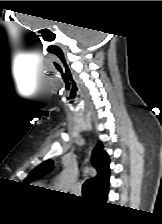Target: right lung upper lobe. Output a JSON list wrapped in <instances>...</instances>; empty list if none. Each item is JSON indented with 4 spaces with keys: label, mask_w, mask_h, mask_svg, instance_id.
<instances>
[{
    "label": "right lung upper lobe",
    "mask_w": 162,
    "mask_h": 224,
    "mask_svg": "<svg viewBox=\"0 0 162 224\" xmlns=\"http://www.w3.org/2000/svg\"><path fill=\"white\" fill-rule=\"evenodd\" d=\"M91 162L93 167L97 170V176L90 179L91 187L90 194L93 197L98 198L100 195L108 191L109 178H110V168H109V158L107 153L103 150V145L101 142L97 144L93 153ZM53 165L52 160H47L37 166L25 179L26 183H29L45 174L49 173L50 168Z\"/></svg>",
    "instance_id": "cb5924a9"
}]
</instances>
